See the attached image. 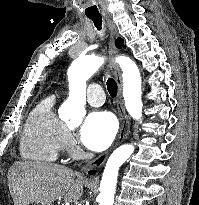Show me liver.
Here are the masks:
<instances>
[{
	"label": "liver",
	"instance_id": "liver-1",
	"mask_svg": "<svg viewBox=\"0 0 199 205\" xmlns=\"http://www.w3.org/2000/svg\"><path fill=\"white\" fill-rule=\"evenodd\" d=\"M70 168L47 162L18 161L8 171L15 205H52L60 198L76 202L83 195V180Z\"/></svg>",
	"mask_w": 199,
	"mask_h": 205
}]
</instances>
